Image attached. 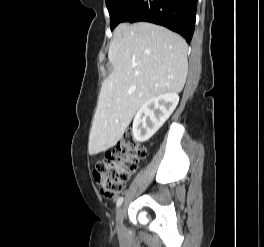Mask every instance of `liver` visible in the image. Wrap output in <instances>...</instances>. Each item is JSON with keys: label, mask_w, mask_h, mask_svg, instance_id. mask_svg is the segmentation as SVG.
<instances>
[{"label": "liver", "mask_w": 264, "mask_h": 247, "mask_svg": "<svg viewBox=\"0 0 264 247\" xmlns=\"http://www.w3.org/2000/svg\"><path fill=\"white\" fill-rule=\"evenodd\" d=\"M187 49L182 37L158 25L122 23L115 28L108 52L113 72L102 85L89 136L90 155L113 147L145 102L182 91Z\"/></svg>", "instance_id": "obj_1"}]
</instances>
